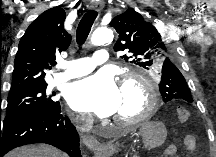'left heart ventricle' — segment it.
<instances>
[{"instance_id":"left-heart-ventricle-1","label":"left heart ventricle","mask_w":216,"mask_h":157,"mask_svg":"<svg viewBox=\"0 0 216 157\" xmlns=\"http://www.w3.org/2000/svg\"><path fill=\"white\" fill-rule=\"evenodd\" d=\"M145 107V92L137 84L120 88V104L114 117L129 119L138 116Z\"/></svg>"}]
</instances>
